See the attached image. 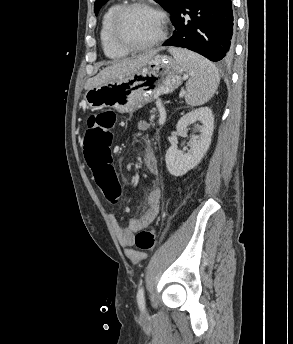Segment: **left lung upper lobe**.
I'll return each instance as SVG.
<instances>
[{"instance_id": "1", "label": "left lung upper lobe", "mask_w": 293, "mask_h": 344, "mask_svg": "<svg viewBox=\"0 0 293 344\" xmlns=\"http://www.w3.org/2000/svg\"><path fill=\"white\" fill-rule=\"evenodd\" d=\"M109 0H96L94 5L95 14H98L100 8ZM159 3L165 10H167L173 17L180 0H154Z\"/></svg>"}]
</instances>
